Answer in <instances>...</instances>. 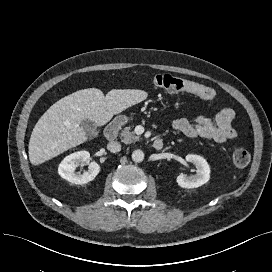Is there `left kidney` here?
<instances>
[{
  "mask_svg": "<svg viewBox=\"0 0 272 272\" xmlns=\"http://www.w3.org/2000/svg\"><path fill=\"white\" fill-rule=\"evenodd\" d=\"M185 159L196 166V175L187 176L186 174H180L176 179L178 185L182 188L191 189L207 183L210 179V167L207 161L196 154H188Z\"/></svg>",
  "mask_w": 272,
  "mask_h": 272,
  "instance_id": "1",
  "label": "left kidney"
}]
</instances>
